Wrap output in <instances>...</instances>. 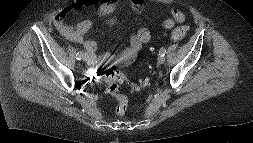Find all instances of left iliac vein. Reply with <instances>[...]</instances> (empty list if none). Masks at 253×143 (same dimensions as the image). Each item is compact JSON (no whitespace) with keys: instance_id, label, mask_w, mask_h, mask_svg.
<instances>
[{"instance_id":"1","label":"left iliac vein","mask_w":253,"mask_h":143,"mask_svg":"<svg viewBox=\"0 0 253 143\" xmlns=\"http://www.w3.org/2000/svg\"><path fill=\"white\" fill-rule=\"evenodd\" d=\"M165 62V57L164 56H160L159 58H158V63L159 64H163Z\"/></svg>"}]
</instances>
